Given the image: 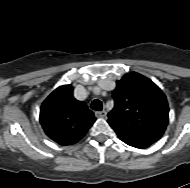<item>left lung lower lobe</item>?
<instances>
[{"label": "left lung lower lobe", "instance_id": "0a47b994", "mask_svg": "<svg viewBox=\"0 0 190 188\" xmlns=\"http://www.w3.org/2000/svg\"><path fill=\"white\" fill-rule=\"evenodd\" d=\"M111 127L123 142L139 149L147 148L161 138L159 135L140 133L120 126Z\"/></svg>", "mask_w": 190, "mask_h": 188}]
</instances>
